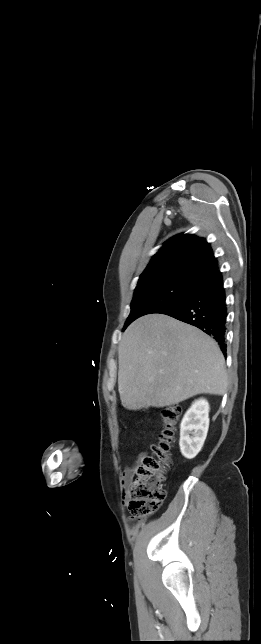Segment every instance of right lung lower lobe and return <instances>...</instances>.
Masks as SVG:
<instances>
[{
  "label": "right lung lower lobe",
  "instance_id": "98d812e1",
  "mask_svg": "<svg viewBox=\"0 0 261 644\" xmlns=\"http://www.w3.org/2000/svg\"><path fill=\"white\" fill-rule=\"evenodd\" d=\"M198 327L212 336L226 351V295L222 273L215 272L199 280L185 300L161 312Z\"/></svg>",
  "mask_w": 261,
  "mask_h": 644
}]
</instances>
